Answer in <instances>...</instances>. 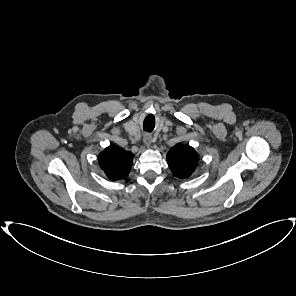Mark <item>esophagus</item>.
Wrapping results in <instances>:
<instances>
[{"label": "esophagus", "mask_w": 296, "mask_h": 296, "mask_svg": "<svg viewBox=\"0 0 296 296\" xmlns=\"http://www.w3.org/2000/svg\"><path fill=\"white\" fill-rule=\"evenodd\" d=\"M143 141H144L145 145L147 147H149L151 145L152 141H153L152 136L149 135V134H145L144 137H143Z\"/></svg>", "instance_id": "34e87169"}]
</instances>
